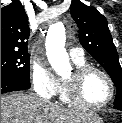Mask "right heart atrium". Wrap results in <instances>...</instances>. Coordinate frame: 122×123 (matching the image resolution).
I'll return each mask as SVG.
<instances>
[{
    "label": "right heart atrium",
    "mask_w": 122,
    "mask_h": 123,
    "mask_svg": "<svg viewBox=\"0 0 122 123\" xmlns=\"http://www.w3.org/2000/svg\"><path fill=\"white\" fill-rule=\"evenodd\" d=\"M30 79L35 92L45 98H53L59 91L60 79L42 60L35 59L30 66Z\"/></svg>",
    "instance_id": "1"
}]
</instances>
